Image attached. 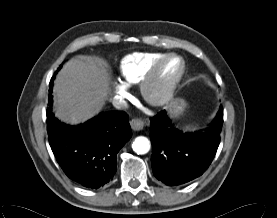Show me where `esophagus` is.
<instances>
[{
	"instance_id": "obj_1",
	"label": "esophagus",
	"mask_w": 277,
	"mask_h": 218,
	"mask_svg": "<svg viewBox=\"0 0 277 218\" xmlns=\"http://www.w3.org/2000/svg\"><path fill=\"white\" fill-rule=\"evenodd\" d=\"M130 125L134 131H140L144 127V121L140 118H134L130 121Z\"/></svg>"
}]
</instances>
